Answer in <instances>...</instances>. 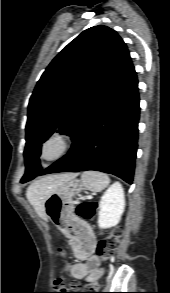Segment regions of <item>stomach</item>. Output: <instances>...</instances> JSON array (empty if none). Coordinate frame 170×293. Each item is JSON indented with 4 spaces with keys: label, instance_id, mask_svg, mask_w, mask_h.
Here are the masks:
<instances>
[{
    "label": "stomach",
    "instance_id": "obj_1",
    "mask_svg": "<svg viewBox=\"0 0 170 293\" xmlns=\"http://www.w3.org/2000/svg\"><path fill=\"white\" fill-rule=\"evenodd\" d=\"M83 189V183L72 178L55 188L44 203L46 217L66 232L69 237H72L68 230V224L74 219V202ZM77 241L79 244L81 243L80 238Z\"/></svg>",
    "mask_w": 170,
    "mask_h": 293
}]
</instances>
